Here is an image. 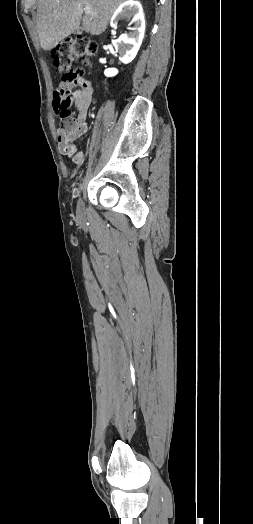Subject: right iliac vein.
Instances as JSON below:
<instances>
[{
	"label": "right iliac vein",
	"mask_w": 253,
	"mask_h": 524,
	"mask_svg": "<svg viewBox=\"0 0 253 524\" xmlns=\"http://www.w3.org/2000/svg\"><path fill=\"white\" fill-rule=\"evenodd\" d=\"M76 214L78 217H82L84 214V203L81 197L78 199V202H77Z\"/></svg>",
	"instance_id": "1"
}]
</instances>
